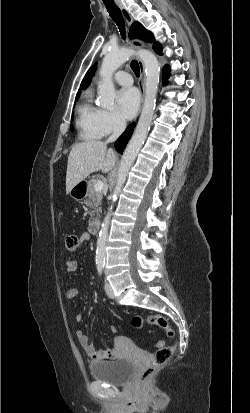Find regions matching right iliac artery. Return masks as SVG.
Masks as SVG:
<instances>
[{
	"label": "right iliac artery",
	"instance_id": "82829eb1",
	"mask_svg": "<svg viewBox=\"0 0 250 413\" xmlns=\"http://www.w3.org/2000/svg\"><path fill=\"white\" fill-rule=\"evenodd\" d=\"M103 268H104V265L103 264H98L97 265V270H98V273L101 275L102 274V272H103Z\"/></svg>",
	"mask_w": 250,
	"mask_h": 413
}]
</instances>
